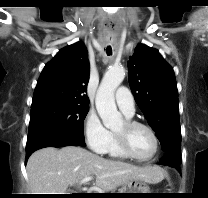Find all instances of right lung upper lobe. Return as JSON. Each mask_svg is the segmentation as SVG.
Wrapping results in <instances>:
<instances>
[{"mask_svg": "<svg viewBox=\"0 0 208 198\" xmlns=\"http://www.w3.org/2000/svg\"><path fill=\"white\" fill-rule=\"evenodd\" d=\"M90 65L82 42L61 49L45 65L37 82L31 107L55 102L89 103L86 96Z\"/></svg>", "mask_w": 208, "mask_h": 198, "instance_id": "right-lung-upper-lobe-1", "label": "right lung upper lobe"}]
</instances>
